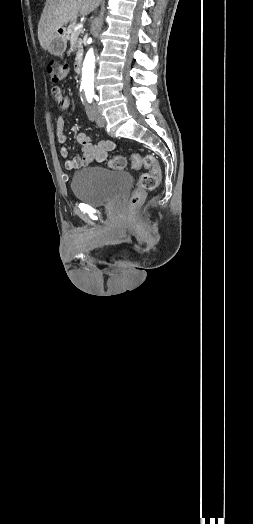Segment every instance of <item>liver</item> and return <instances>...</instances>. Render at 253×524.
Returning <instances> with one entry per match:
<instances>
[{
  "label": "liver",
  "instance_id": "1",
  "mask_svg": "<svg viewBox=\"0 0 253 524\" xmlns=\"http://www.w3.org/2000/svg\"><path fill=\"white\" fill-rule=\"evenodd\" d=\"M101 0H46L38 24V39L44 50L48 49L55 32L74 20L79 14L93 12Z\"/></svg>",
  "mask_w": 253,
  "mask_h": 524
}]
</instances>
